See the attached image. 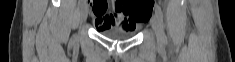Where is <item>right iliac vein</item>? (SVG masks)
I'll list each match as a JSON object with an SVG mask.
<instances>
[{
	"label": "right iliac vein",
	"mask_w": 235,
	"mask_h": 62,
	"mask_svg": "<svg viewBox=\"0 0 235 62\" xmlns=\"http://www.w3.org/2000/svg\"><path fill=\"white\" fill-rule=\"evenodd\" d=\"M88 16V10L86 6H83L81 9V21L85 22Z\"/></svg>",
	"instance_id": "1"
}]
</instances>
